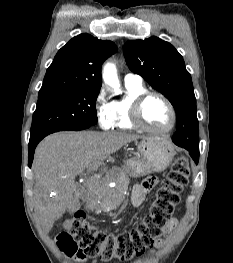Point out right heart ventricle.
<instances>
[{
    "label": "right heart ventricle",
    "mask_w": 233,
    "mask_h": 263,
    "mask_svg": "<svg viewBox=\"0 0 233 263\" xmlns=\"http://www.w3.org/2000/svg\"><path fill=\"white\" fill-rule=\"evenodd\" d=\"M126 94L120 100L112 102V108L115 116V126L118 129H133L134 124L131 121V106L137 96L144 93L146 87L142 83L125 82Z\"/></svg>",
    "instance_id": "obj_1"
}]
</instances>
